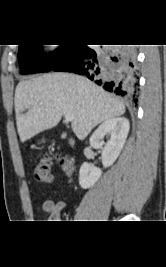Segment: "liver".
<instances>
[{
	"mask_svg": "<svg viewBox=\"0 0 166 267\" xmlns=\"http://www.w3.org/2000/svg\"><path fill=\"white\" fill-rule=\"evenodd\" d=\"M16 125L21 142L74 115L71 127L84 139L99 123L125 113V105L84 77L49 73L20 81L15 90Z\"/></svg>",
	"mask_w": 166,
	"mask_h": 267,
	"instance_id": "liver-1",
	"label": "liver"
}]
</instances>
